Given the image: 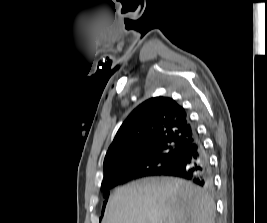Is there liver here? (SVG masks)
I'll list each match as a JSON object with an SVG mask.
<instances>
[{
    "mask_svg": "<svg viewBox=\"0 0 267 223\" xmlns=\"http://www.w3.org/2000/svg\"><path fill=\"white\" fill-rule=\"evenodd\" d=\"M215 203L177 178H144L115 189L103 223H214Z\"/></svg>",
    "mask_w": 267,
    "mask_h": 223,
    "instance_id": "obj_1",
    "label": "liver"
}]
</instances>
